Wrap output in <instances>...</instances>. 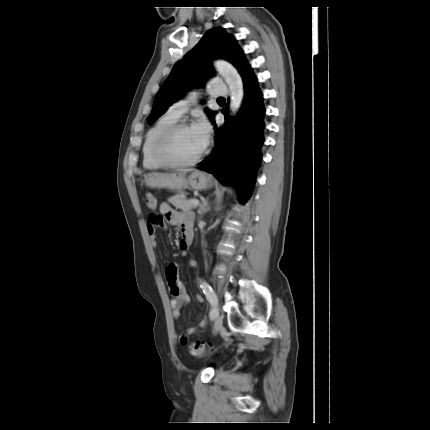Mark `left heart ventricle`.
Wrapping results in <instances>:
<instances>
[{
  "mask_svg": "<svg viewBox=\"0 0 430 430\" xmlns=\"http://www.w3.org/2000/svg\"><path fill=\"white\" fill-rule=\"evenodd\" d=\"M202 150L191 127L178 131L171 144L173 157L180 160L192 159Z\"/></svg>",
  "mask_w": 430,
  "mask_h": 430,
  "instance_id": "b2bd125f",
  "label": "left heart ventricle"
}]
</instances>
